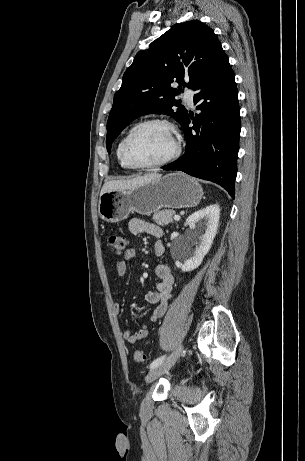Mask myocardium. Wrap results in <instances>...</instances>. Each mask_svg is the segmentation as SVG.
<instances>
[{"instance_id": "myocardium-1", "label": "myocardium", "mask_w": 305, "mask_h": 461, "mask_svg": "<svg viewBox=\"0 0 305 461\" xmlns=\"http://www.w3.org/2000/svg\"><path fill=\"white\" fill-rule=\"evenodd\" d=\"M151 125H160V126H163L165 127L166 129H168L170 131V133L172 134L173 138H174V150L172 151V153L167 156L166 158L160 160V161H157V162H154V163H139L137 161H135L131 154H130V151H129V148H130V144H131V141L132 139L135 137V135L143 128L147 127V126H151ZM181 141L179 139V136H178V133L175 129V127L167 120L165 119H159V118H153V119H148V120H145V121H142L140 123H138L136 126H134L130 131L129 133L127 134V136L125 137L124 139V142H123V146H122V152H123V157H124V160L127 162V164L129 166H131L132 168L134 169H141V170H150V169H155V168H159V167H162V166H165L169 163H171L172 161H174L175 159H177L181 153Z\"/></svg>"}]
</instances>
